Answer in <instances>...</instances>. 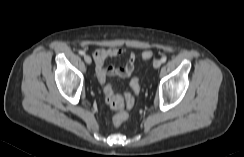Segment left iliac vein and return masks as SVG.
<instances>
[{
  "instance_id": "obj_1",
  "label": "left iliac vein",
  "mask_w": 244,
  "mask_h": 157,
  "mask_svg": "<svg viewBox=\"0 0 244 157\" xmlns=\"http://www.w3.org/2000/svg\"><path fill=\"white\" fill-rule=\"evenodd\" d=\"M161 61L160 60H155L154 62H153V67L154 68H159L160 66H161Z\"/></svg>"
}]
</instances>
